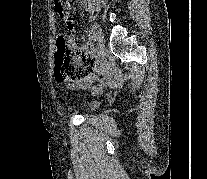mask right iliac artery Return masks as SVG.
Instances as JSON below:
<instances>
[{
    "label": "right iliac artery",
    "instance_id": "obj_1",
    "mask_svg": "<svg viewBox=\"0 0 207 179\" xmlns=\"http://www.w3.org/2000/svg\"><path fill=\"white\" fill-rule=\"evenodd\" d=\"M86 34H87V37L90 41H96L93 31L87 30Z\"/></svg>",
    "mask_w": 207,
    "mask_h": 179
}]
</instances>
